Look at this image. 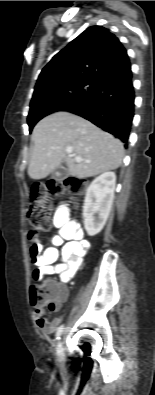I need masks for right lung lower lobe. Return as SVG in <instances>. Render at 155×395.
<instances>
[{
    "label": "right lung lower lobe",
    "mask_w": 155,
    "mask_h": 395,
    "mask_svg": "<svg viewBox=\"0 0 155 395\" xmlns=\"http://www.w3.org/2000/svg\"><path fill=\"white\" fill-rule=\"evenodd\" d=\"M134 98L130 67L108 74L95 91L63 110L91 121L126 143L134 116Z\"/></svg>",
    "instance_id": "98d812e1"
}]
</instances>
